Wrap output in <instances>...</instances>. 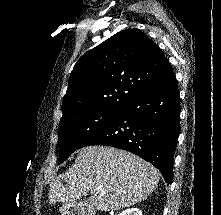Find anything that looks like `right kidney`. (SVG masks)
I'll return each mask as SVG.
<instances>
[{"label":"right kidney","mask_w":221,"mask_h":215,"mask_svg":"<svg viewBox=\"0 0 221 215\" xmlns=\"http://www.w3.org/2000/svg\"><path fill=\"white\" fill-rule=\"evenodd\" d=\"M119 215H142V212L138 208H131V209L124 210Z\"/></svg>","instance_id":"right-kidney-1"}]
</instances>
